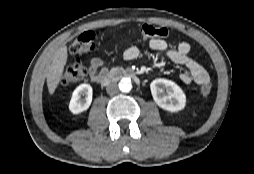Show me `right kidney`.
<instances>
[{"label": "right kidney", "instance_id": "1", "mask_svg": "<svg viewBox=\"0 0 254 174\" xmlns=\"http://www.w3.org/2000/svg\"><path fill=\"white\" fill-rule=\"evenodd\" d=\"M93 90L89 84L79 85L72 93L69 109L73 114L87 110L92 102ZM84 97V98H82Z\"/></svg>", "mask_w": 254, "mask_h": 174}]
</instances>
